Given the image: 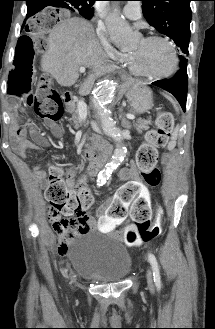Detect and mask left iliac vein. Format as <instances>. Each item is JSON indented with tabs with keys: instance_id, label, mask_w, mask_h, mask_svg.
Wrapping results in <instances>:
<instances>
[{
	"instance_id": "left-iliac-vein-1",
	"label": "left iliac vein",
	"mask_w": 215,
	"mask_h": 329,
	"mask_svg": "<svg viewBox=\"0 0 215 329\" xmlns=\"http://www.w3.org/2000/svg\"><path fill=\"white\" fill-rule=\"evenodd\" d=\"M147 282L150 290H153L154 284H153V274L151 269H147Z\"/></svg>"
}]
</instances>
